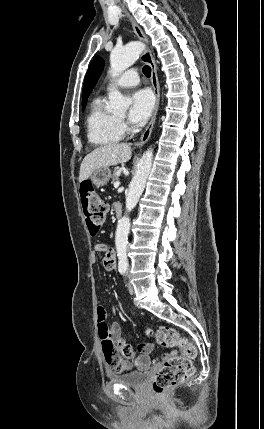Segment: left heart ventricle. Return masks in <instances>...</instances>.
Listing matches in <instances>:
<instances>
[{
	"mask_svg": "<svg viewBox=\"0 0 264 429\" xmlns=\"http://www.w3.org/2000/svg\"><path fill=\"white\" fill-rule=\"evenodd\" d=\"M119 117H120V118H123V117H124V114L120 115Z\"/></svg>",
	"mask_w": 264,
	"mask_h": 429,
	"instance_id": "1",
	"label": "left heart ventricle"
}]
</instances>
